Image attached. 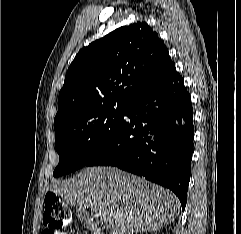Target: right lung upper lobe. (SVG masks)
I'll return each instance as SVG.
<instances>
[{
    "label": "right lung upper lobe",
    "mask_w": 241,
    "mask_h": 234,
    "mask_svg": "<svg viewBox=\"0 0 241 234\" xmlns=\"http://www.w3.org/2000/svg\"><path fill=\"white\" fill-rule=\"evenodd\" d=\"M172 64L164 42L145 22L122 26L92 42L68 68L59 92L55 131L93 108L128 104Z\"/></svg>",
    "instance_id": "obj_1"
}]
</instances>
